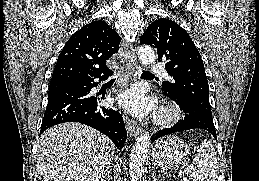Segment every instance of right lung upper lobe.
Here are the masks:
<instances>
[{"instance_id": "obj_1", "label": "right lung upper lobe", "mask_w": 259, "mask_h": 181, "mask_svg": "<svg viewBox=\"0 0 259 181\" xmlns=\"http://www.w3.org/2000/svg\"><path fill=\"white\" fill-rule=\"evenodd\" d=\"M121 38L102 20L83 26L58 56L50 85L108 73L106 60L118 52Z\"/></svg>"}]
</instances>
